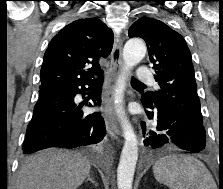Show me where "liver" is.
Returning a JSON list of instances; mask_svg holds the SVG:
<instances>
[{
  "instance_id": "6515ba94",
  "label": "liver",
  "mask_w": 223,
  "mask_h": 189,
  "mask_svg": "<svg viewBox=\"0 0 223 189\" xmlns=\"http://www.w3.org/2000/svg\"><path fill=\"white\" fill-rule=\"evenodd\" d=\"M91 169L90 160L78 152L47 149L26 159L17 189H76Z\"/></svg>"
}]
</instances>
